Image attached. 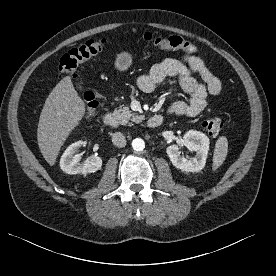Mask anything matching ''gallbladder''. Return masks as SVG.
Returning <instances> with one entry per match:
<instances>
[{"instance_id":"bac80fb5","label":"gallbladder","mask_w":276,"mask_h":276,"mask_svg":"<svg viewBox=\"0 0 276 276\" xmlns=\"http://www.w3.org/2000/svg\"><path fill=\"white\" fill-rule=\"evenodd\" d=\"M79 89H82V85L81 84H79Z\"/></svg>"}]
</instances>
